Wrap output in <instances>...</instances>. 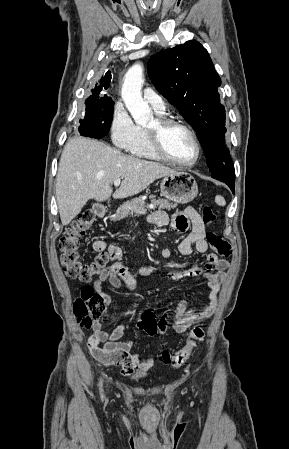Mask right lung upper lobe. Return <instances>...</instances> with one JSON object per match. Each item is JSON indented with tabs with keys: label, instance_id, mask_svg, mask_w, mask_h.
Listing matches in <instances>:
<instances>
[{
	"label": "right lung upper lobe",
	"instance_id": "obj_1",
	"mask_svg": "<svg viewBox=\"0 0 289 449\" xmlns=\"http://www.w3.org/2000/svg\"><path fill=\"white\" fill-rule=\"evenodd\" d=\"M110 79H111V73L108 71L104 77H102L101 81H100V86L99 87H95L94 89H92V95L90 97H94V96H98L99 93L102 90V87H104V89H107L110 85ZM103 98H110L107 95H104Z\"/></svg>",
	"mask_w": 289,
	"mask_h": 449
}]
</instances>
